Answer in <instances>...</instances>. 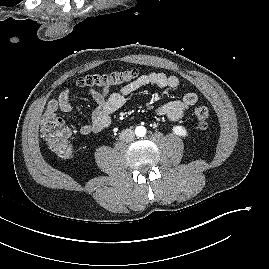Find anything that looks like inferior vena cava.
I'll list each match as a JSON object with an SVG mask.
<instances>
[{
  "label": "inferior vena cava",
  "mask_w": 269,
  "mask_h": 269,
  "mask_svg": "<svg viewBox=\"0 0 269 269\" xmlns=\"http://www.w3.org/2000/svg\"><path fill=\"white\" fill-rule=\"evenodd\" d=\"M135 133L131 129H125L120 133L119 138L125 142H131L134 140Z\"/></svg>",
  "instance_id": "inferior-vena-cava-1"
}]
</instances>
